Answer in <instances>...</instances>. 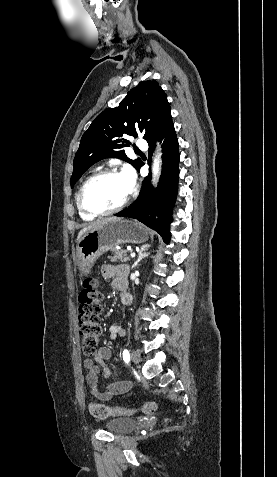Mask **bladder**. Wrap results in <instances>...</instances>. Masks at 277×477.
Returning <instances> with one entry per match:
<instances>
[{"instance_id": "bladder-1", "label": "bladder", "mask_w": 277, "mask_h": 477, "mask_svg": "<svg viewBox=\"0 0 277 477\" xmlns=\"http://www.w3.org/2000/svg\"><path fill=\"white\" fill-rule=\"evenodd\" d=\"M138 425V422L129 417H115L107 421L105 427L113 434H127L132 432Z\"/></svg>"}]
</instances>
